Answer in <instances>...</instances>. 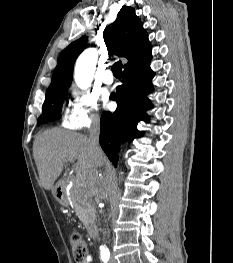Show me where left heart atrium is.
Returning a JSON list of instances; mask_svg holds the SVG:
<instances>
[{"label":"left heart atrium","mask_w":233,"mask_h":263,"mask_svg":"<svg viewBox=\"0 0 233 263\" xmlns=\"http://www.w3.org/2000/svg\"><path fill=\"white\" fill-rule=\"evenodd\" d=\"M103 101H104V106H105V107H107V108L110 107L111 102H110L109 97H108L107 94H105V95L103 96Z\"/></svg>","instance_id":"obj_1"}]
</instances>
